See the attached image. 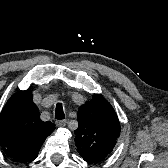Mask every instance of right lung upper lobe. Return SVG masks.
Returning <instances> with one entry per match:
<instances>
[{"label":"right lung upper lobe","instance_id":"cb5924a9","mask_svg":"<svg viewBox=\"0 0 168 168\" xmlns=\"http://www.w3.org/2000/svg\"><path fill=\"white\" fill-rule=\"evenodd\" d=\"M54 130L53 123L41 121L30 89L14 94L0 114V146L18 162L34 160Z\"/></svg>","mask_w":168,"mask_h":168}]
</instances>
